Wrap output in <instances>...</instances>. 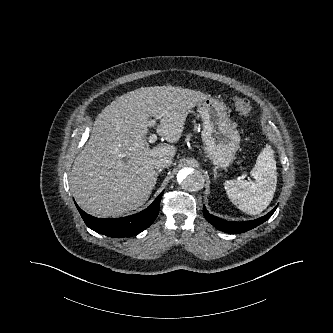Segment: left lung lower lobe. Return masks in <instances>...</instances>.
Masks as SVG:
<instances>
[{
	"label": "left lung lower lobe",
	"instance_id": "obj_1",
	"mask_svg": "<svg viewBox=\"0 0 333 333\" xmlns=\"http://www.w3.org/2000/svg\"><path fill=\"white\" fill-rule=\"evenodd\" d=\"M276 208L277 206L273 210H271L268 214H266L261 218L244 222L226 221L219 217L213 216L208 213L205 206H203V215L209 223H211L213 226H215L217 229L223 232L242 233L257 227L258 225L268 220L271 217V215L275 212Z\"/></svg>",
	"mask_w": 333,
	"mask_h": 333
}]
</instances>
